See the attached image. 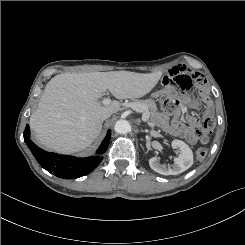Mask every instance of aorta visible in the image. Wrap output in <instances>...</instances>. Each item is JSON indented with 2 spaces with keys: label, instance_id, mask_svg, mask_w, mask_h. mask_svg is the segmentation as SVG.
<instances>
[{
  "label": "aorta",
  "instance_id": "aorta-1",
  "mask_svg": "<svg viewBox=\"0 0 245 245\" xmlns=\"http://www.w3.org/2000/svg\"><path fill=\"white\" fill-rule=\"evenodd\" d=\"M114 130L116 133L119 134H126L131 130V125L126 120H118L115 123Z\"/></svg>",
  "mask_w": 245,
  "mask_h": 245
}]
</instances>
